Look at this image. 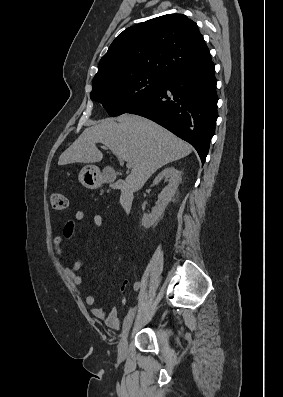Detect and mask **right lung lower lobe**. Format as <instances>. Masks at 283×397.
I'll use <instances>...</instances> for the list:
<instances>
[{"mask_svg": "<svg viewBox=\"0 0 283 397\" xmlns=\"http://www.w3.org/2000/svg\"><path fill=\"white\" fill-rule=\"evenodd\" d=\"M214 63L167 77L160 89L127 111L146 117L189 142L204 164L218 117Z\"/></svg>", "mask_w": 283, "mask_h": 397, "instance_id": "98d812e1", "label": "right lung lower lobe"}]
</instances>
